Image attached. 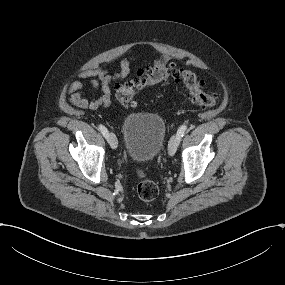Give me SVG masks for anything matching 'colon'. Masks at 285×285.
I'll list each match as a JSON object with an SVG mask.
<instances>
[{"label": "colon", "mask_w": 285, "mask_h": 285, "mask_svg": "<svg viewBox=\"0 0 285 285\" xmlns=\"http://www.w3.org/2000/svg\"><path fill=\"white\" fill-rule=\"evenodd\" d=\"M171 81L180 82L188 92L190 101L202 108L213 107L217 104L219 95L206 91L201 81L189 70L177 68L174 65L146 67L138 71L136 77L119 82L116 85V100L126 107L136 104L138 94L152 86L166 84ZM139 183L137 194L143 201L154 200L158 196L157 185L146 178L143 170L138 169Z\"/></svg>", "instance_id": "colon-1"}]
</instances>
